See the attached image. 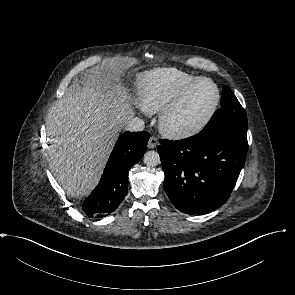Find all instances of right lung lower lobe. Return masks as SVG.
Instances as JSON below:
<instances>
[{
    "label": "right lung lower lobe",
    "mask_w": 295,
    "mask_h": 295,
    "mask_svg": "<svg viewBox=\"0 0 295 295\" xmlns=\"http://www.w3.org/2000/svg\"><path fill=\"white\" fill-rule=\"evenodd\" d=\"M149 138L148 132L119 137L99 184L82 205L89 217H104L118 208L127 193L128 171L143 157Z\"/></svg>",
    "instance_id": "98d812e1"
}]
</instances>
